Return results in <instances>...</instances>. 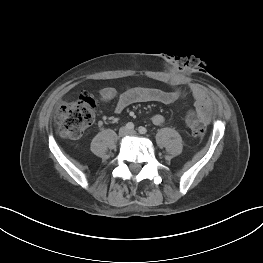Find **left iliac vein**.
<instances>
[{
    "label": "left iliac vein",
    "mask_w": 263,
    "mask_h": 263,
    "mask_svg": "<svg viewBox=\"0 0 263 263\" xmlns=\"http://www.w3.org/2000/svg\"><path fill=\"white\" fill-rule=\"evenodd\" d=\"M129 134H130V135H136L137 133H136L135 130H131V131H129Z\"/></svg>",
    "instance_id": "4c4485c4"
}]
</instances>
